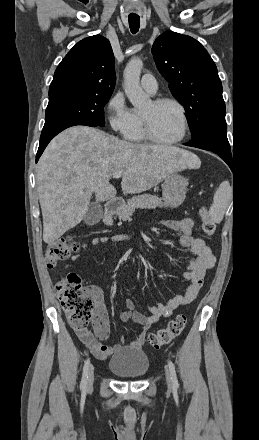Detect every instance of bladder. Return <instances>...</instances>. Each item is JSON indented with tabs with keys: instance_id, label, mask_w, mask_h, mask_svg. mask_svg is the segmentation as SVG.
Masks as SVG:
<instances>
[{
	"instance_id": "1",
	"label": "bladder",
	"mask_w": 259,
	"mask_h": 440,
	"mask_svg": "<svg viewBox=\"0 0 259 440\" xmlns=\"http://www.w3.org/2000/svg\"><path fill=\"white\" fill-rule=\"evenodd\" d=\"M108 369L120 378L139 379L149 369V358L141 349L121 347L110 357Z\"/></svg>"
}]
</instances>
